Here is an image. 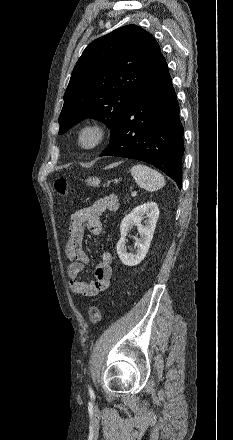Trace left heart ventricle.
<instances>
[{"label": "left heart ventricle", "mask_w": 233, "mask_h": 440, "mask_svg": "<svg viewBox=\"0 0 233 440\" xmlns=\"http://www.w3.org/2000/svg\"><path fill=\"white\" fill-rule=\"evenodd\" d=\"M92 140V136L90 135V134H87L85 137H84V141L85 142H90Z\"/></svg>", "instance_id": "left-heart-ventricle-1"}]
</instances>
